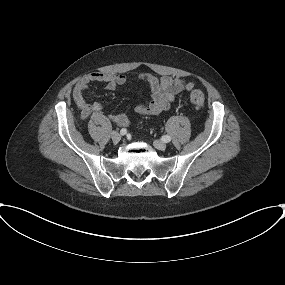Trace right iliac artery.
<instances>
[{"mask_svg": "<svg viewBox=\"0 0 285 285\" xmlns=\"http://www.w3.org/2000/svg\"><path fill=\"white\" fill-rule=\"evenodd\" d=\"M126 133H127V130H126V129H124V128L121 129V131H120V134H121V135H125Z\"/></svg>", "mask_w": 285, "mask_h": 285, "instance_id": "right-iliac-artery-1", "label": "right iliac artery"}]
</instances>
